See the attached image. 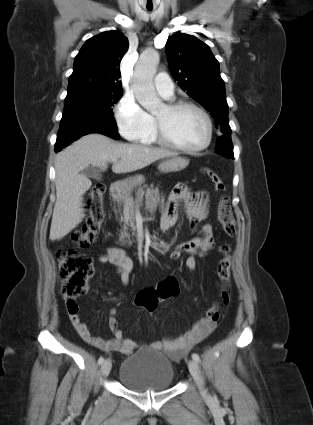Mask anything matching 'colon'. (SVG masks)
Instances as JSON below:
<instances>
[{
	"label": "colon",
	"mask_w": 313,
	"mask_h": 425,
	"mask_svg": "<svg viewBox=\"0 0 313 425\" xmlns=\"http://www.w3.org/2000/svg\"><path fill=\"white\" fill-rule=\"evenodd\" d=\"M204 173L211 179L217 192L224 193L226 186L218 174L210 169H204ZM105 186L101 183L95 184L90 191L89 216L84 226L72 236V243L77 247L89 246L98 236L105 218L103 206V196ZM218 221L223 232L232 237L236 233L235 223L232 218L229 197L222 194L217 205ZM211 247L202 250L201 255H206ZM222 254L217 265V277L221 284V300L227 304L230 299V246L227 243L218 247ZM59 273L62 278V294L70 304H74L75 299L82 296L88 286V281L93 275L92 259L74 249H65L58 252ZM180 293V286L175 277H168L155 287H150L140 291L135 299L138 306L152 313L161 301L175 297ZM219 311L216 306L210 308L206 313V321L215 325L219 320Z\"/></svg>",
	"instance_id": "5ec220e1"
}]
</instances>
